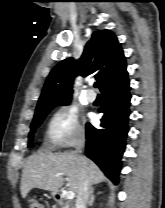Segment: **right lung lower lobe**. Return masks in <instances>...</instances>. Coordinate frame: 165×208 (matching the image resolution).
I'll return each instance as SVG.
<instances>
[{
	"label": "right lung lower lobe",
	"instance_id": "obj_1",
	"mask_svg": "<svg viewBox=\"0 0 165 208\" xmlns=\"http://www.w3.org/2000/svg\"><path fill=\"white\" fill-rule=\"evenodd\" d=\"M130 87L127 72L101 90L104 115L100 128L86 124V155L92 159L114 183H118L121 156L129 131Z\"/></svg>",
	"mask_w": 165,
	"mask_h": 208
}]
</instances>
